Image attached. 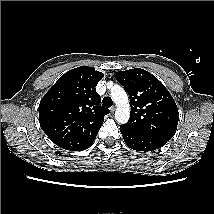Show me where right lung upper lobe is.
<instances>
[{"mask_svg": "<svg viewBox=\"0 0 214 214\" xmlns=\"http://www.w3.org/2000/svg\"><path fill=\"white\" fill-rule=\"evenodd\" d=\"M103 73L81 66L63 74L41 99L39 123L44 133L60 148L81 151L96 138L107 108L95 87Z\"/></svg>", "mask_w": 214, "mask_h": 214, "instance_id": "obj_1", "label": "right lung upper lobe"}]
</instances>
